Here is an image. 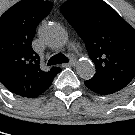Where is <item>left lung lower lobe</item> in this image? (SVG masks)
<instances>
[{
    "label": "left lung lower lobe",
    "instance_id": "obj_1",
    "mask_svg": "<svg viewBox=\"0 0 135 135\" xmlns=\"http://www.w3.org/2000/svg\"><path fill=\"white\" fill-rule=\"evenodd\" d=\"M85 86L90 89L91 91L100 94V95H109L112 93H115L116 91L104 86H101L99 84H96L90 80H87L84 82Z\"/></svg>",
    "mask_w": 135,
    "mask_h": 135
}]
</instances>
